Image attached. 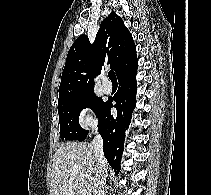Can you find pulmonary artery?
<instances>
[{
  "label": "pulmonary artery",
  "mask_w": 211,
  "mask_h": 195,
  "mask_svg": "<svg viewBox=\"0 0 211 195\" xmlns=\"http://www.w3.org/2000/svg\"><path fill=\"white\" fill-rule=\"evenodd\" d=\"M102 88L106 93H110L112 91L113 88L112 83L108 80L106 76L103 78Z\"/></svg>",
  "instance_id": "obj_1"
}]
</instances>
